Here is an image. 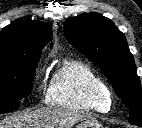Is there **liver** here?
<instances>
[{"instance_id": "1", "label": "liver", "mask_w": 142, "mask_h": 128, "mask_svg": "<svg viewBox=\"0 0 142 128\" xmlns=\"http://www.w3.org/2000/svg\"><path fill=\"white\" fill-rule=\"evenodd\" d=\"M92 118L91 115L66 108H41L14 114L0 121V128H71Z\"/></svg>"}]
</instances>
